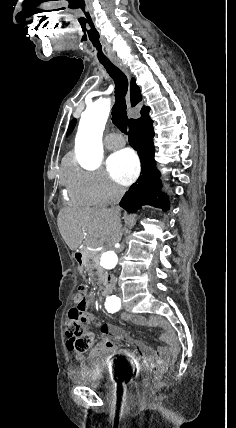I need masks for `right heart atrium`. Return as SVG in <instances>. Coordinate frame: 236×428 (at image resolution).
<instances>
[{
    "instance_id": "d8ad5b80",
    "label": "right heart atrium",
    "mask_w": 236,
    "mask_h": 428,
    "mask_svg": "<svg viewBox=\"0 0 236 428\" xmlns=\"http://www.w3.org/2000/svg\"><path fill=\"white\" fill-rule=\"evenodd\" d=\"M71 200L79 206H106L107 200H120L124 189L103 169H84L73 165L64 181Z\"/></svg>"
}]
</instances>
